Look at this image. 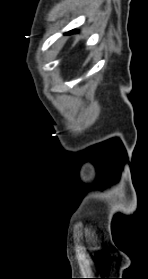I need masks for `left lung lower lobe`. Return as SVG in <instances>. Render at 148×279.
Listing matches in <instances>:
<instances>
[{
    "label": "left lung lower lobe",
    "instance_id": "obj_1",
    "mask_svg": "<svg viewBox=\"0 0 148 279\" xmlns=\"http://www.w3.org/2000/svg\"><path fill=\"white\" fill-rule=\"evenodd\" d=\"M76 32L75 30H72V31H69L67 34H71V33H74Z\"/></svg>",
    "mask_w": 148,
    "mask_h": 279
}]
</instances>
